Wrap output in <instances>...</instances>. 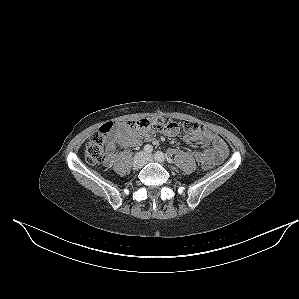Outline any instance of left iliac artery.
<instances>
[{"instance_id":"left-iliac-artery-1","label":"left iliac artery","mask_w":299,"mask_h":299,"mask_svg":"<svg viewBox=\"0 0 299 299\" xmlns=\"http://www.w3.org/2000/svg\"><path fill=\"white\" fill-rule=\"evenodd\" d=\"M154 157L159 162H164V161H167L168 163L172 162V160L170 158L165 157V155L161 151H157L154 154Z\"/></svg>"}]
</instances>
